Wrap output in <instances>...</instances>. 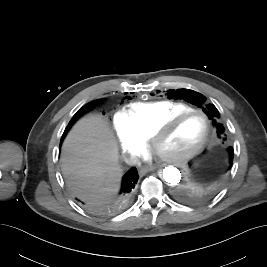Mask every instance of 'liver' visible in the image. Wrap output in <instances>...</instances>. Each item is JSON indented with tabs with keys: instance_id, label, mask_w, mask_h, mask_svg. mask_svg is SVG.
<instances>
[{
	"instance_id": "1",
	"label": "liver",
	"mask_w": 267,
	"mask_h": 267,
	"mask_svg": "<svg viewBox=\"0 0 267 267\" xmlns=\"http://www.w3.org/2000/svg\"><path fill=\"white\" fill-rule=\"evenodd\" d=\"M61 163L67 186L85 202L106 203L119 189L123 170L118 145L99 115L74 125L63 143Z\"/></svg>"
}]
</instances>
